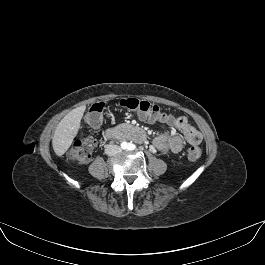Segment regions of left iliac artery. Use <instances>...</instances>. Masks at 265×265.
Here are the masks:
<instances>
[{
    "instance_id": "obj_1",
    "label": "left iliac artery",
    "mask_w": 265,
    "mask_h": 265,
    "mask_svg": "<svg viewBox=\"0 0 265 265\" xmlns=\"http://www.w3.org/2000/svg\"><path fill=\"white\" fill-rule=\"evenodd\" d=\"M134 149H136V146L134 144L128 145V150H134Z\"/></svg>"
}]
</instances>
